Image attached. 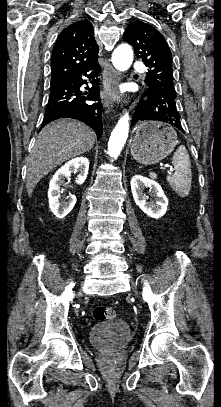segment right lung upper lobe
Returning a JSON list of instances; mask_svg holds the SVG:
<instances>
[{"label":"right lung upper lobe","instance_id":"1","mask_svg":"<svg viewBox=\"0 0 221 407\" xmlns=\"http://www.w3.org/2000/svg\"><path fill=\"white\" fill-rule=\"evenodd\" d=\"M98 49L93 26L88 20H80L66 27L53 47L51 84L96 62Z\"/></svg>","mask_w":221,"mask_h":407}]
</instances>
